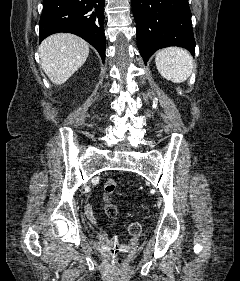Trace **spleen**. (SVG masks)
<instances>
[{"mask_svg":"<svg viewBox=\"0 0 240 281\" xmlns=\"http://www.w3.org/2000/svg\"><path fill=\"white\" fill-rule=\"evenodd\" d=\"M155 64L159 73L173 83L186 81L193 70L192 56L179 47H167L158 51Z\"/></svg>","mask_w":240,"mask_h":281,"instance_id":"obj_1","label":"spleen"}]
</instances>
